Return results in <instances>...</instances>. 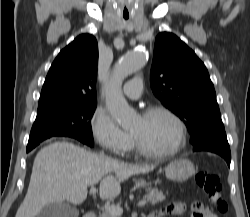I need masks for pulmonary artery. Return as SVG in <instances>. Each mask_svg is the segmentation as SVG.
<instances>
[{"mask_svg": "<svg viewBox=\"0 0 250 217\" xmlns=\"http://www.w3.org/2000/svg\"><path fill=\"white\" fill-rule=\"evenodd\" d=\"M123 93L125 96L131 99H137L142 93V78L136 77L128 81L123 88Z\"/></svg>", "mask_w": 250, "mask_h": 217, "instance_id": "obj_1", "label": "pulmonary artery"}]
</instances>
